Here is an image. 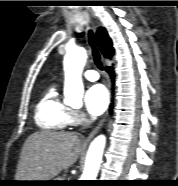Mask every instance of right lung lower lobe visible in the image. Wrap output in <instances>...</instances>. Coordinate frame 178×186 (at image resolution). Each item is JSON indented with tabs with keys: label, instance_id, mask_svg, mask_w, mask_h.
Wrapping results in <instances>:
<instances>
[{
	"label": "right lung lower lobe",
	"instance_id": "98d812e1",
	"mask_svg": "<svg viewBox=\"0 0 178 186\" xmlns=\"http://www.w3.org/2000/svg\"><path fill=\"white\" fill-rule=\"evenodd\" d=\"M106 72L110 75L111 79H114V71L112 67H106ZM112 109V105L110 106V111Z\"/></svg>",
	"mask_w": 178,
	"mask_h": 186
}]
</instances>
